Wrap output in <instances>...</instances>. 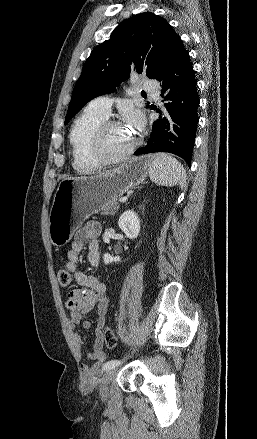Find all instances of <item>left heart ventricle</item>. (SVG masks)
Instances as JSON below:
<instances>
[{"mask_svg": "<svg viewBox=\"0 0 257 439\" xmlns=\"http://www.w3.org/2000/svg\"><path fill=\"white\" fill-rule=\"evenodd\" d=\"M136 138L134 132L127 126L123 124L112 126L105 132V151L110 156L116 155L129 147Z\"/></svg>", "mask_w": 257, "mask_h": 439, "instance_id": "left-heart-ventricle-1", "label": "left heart ventricle"}]
</instances>
